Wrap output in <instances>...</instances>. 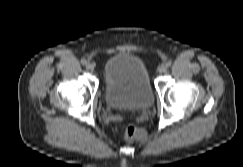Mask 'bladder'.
<instances>
[{"mask_svg": "<svg viewBox=\"0 0 243 167\" xmlns=\"http://www.w3.org/2000/svg\"><path fill=\"white\" fill-rule=\"evenodd\" d=\"M103 95L111 108L144 111L152 107L154 93L144 61L128 52L111 56L104 65Z\"/></svg>", "mask_w": 243, "mask_h": 167, "instance_id": "obj_1", "label": "bladder"}]
</instances>
